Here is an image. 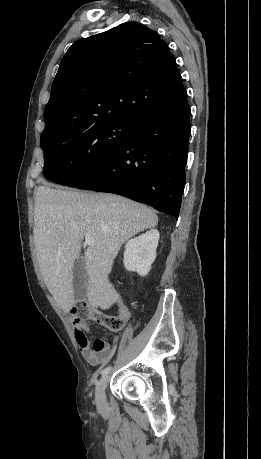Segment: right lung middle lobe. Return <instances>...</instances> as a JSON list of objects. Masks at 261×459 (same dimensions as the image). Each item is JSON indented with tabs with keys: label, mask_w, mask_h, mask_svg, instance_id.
Wrapping results in <instances>:
<instances>
[{
	"label": "right lung middle lobe",
	"mask_w": 261,
	"mask_h": 459,
	"mask_svg": "<svg viewBox=\"0 0 261 459\" xmlns=\"http://www.w3.org/2000/svg\"><path fill=\"white\" fill-rule=\"evenodd\" d=\"M136 122L112 120L91 128L55 130L41 135L45 177L70 185L115 155Z\"/></svg>",
	"instance_id": "right-lung-middle-lobe-1"
}]
</instances>
